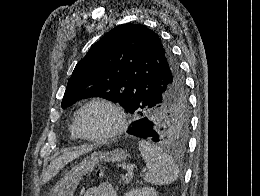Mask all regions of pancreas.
Segmentation results:
<instances>
[{"mask_svg":"<svg viewBox=\"0 0 260 196\" xmlns=\"http://www.w3.org/2000/svg\"><path fill=\"white\" fill-rule=\"evenodd\" d=\"M131 178H133V176H131V174H125V176H122L123 186H125V184H129Z\"/></svg>","mask_w":260,"mask_h":196,"instance_id":"1","label":"pancreas"}]
</instances>
